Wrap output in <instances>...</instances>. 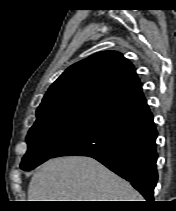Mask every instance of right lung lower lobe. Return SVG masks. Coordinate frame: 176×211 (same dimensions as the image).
Returning <instances> with one entry per match:
<instances>
[{
  "label": "right lung lower lobe",
  "instance_id": "98d812e1",
  "mask_svg": "<svg viewBox=\"0 0 176 211\" xmlns=\"http://www.w3.org/2000/svg\"><path fill=\"white\" fill-rule=\"evenodd\" d=\"M157 130L147 104L102 119L52 157L90 156L126 179L147 201L157 182Z\"/></svg>",
  "mask_w": 176,
  "mask_h": 211
}]
</instances>
